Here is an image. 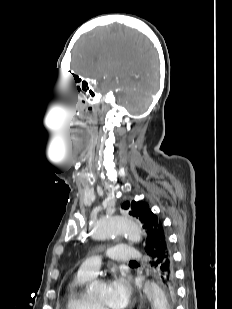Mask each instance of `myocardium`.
Returning <instances> with one entry per match:
<instances>
[{
	"instance_id": "1",
	"label": "myocardium",
	"mask_w": 232,
	"mask_h": 309,
	"mask_svg": "<svg viewBox=\"0 0 232 309\" xmlns=\"http://www.w3.org/2000/svg\"><path fill=\"white\" fill-rule=\"evenodd\" d=\"M94 304L96 305L97 309H109L105 305L101 304L99 301H97L95 298H93Z\"/></svg>"
}]
</instances>
